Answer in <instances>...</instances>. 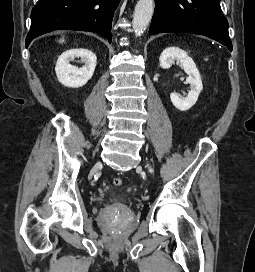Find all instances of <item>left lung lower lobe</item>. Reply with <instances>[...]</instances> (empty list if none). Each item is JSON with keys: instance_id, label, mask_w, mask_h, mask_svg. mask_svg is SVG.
I'll list each match as a JSON object with an SVG mask.
<instances>
[{"instance_id": "obj_1", "label": "left lung lower lobe", "mask_w": 255, "mask_h": 272, "mask_svg": "<svg viewBox=\"0 0 255 272\" xmlns=\"http://www.w3.org/2000/svg\"><path fill=\"white\" fill-rule=\"evenodd\" d=\"M150 34L183 32L207 36L232 51L220 0H155Z\"/></svg>"}]
</instances>
